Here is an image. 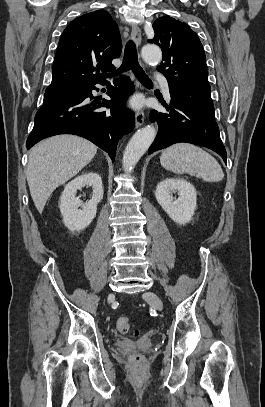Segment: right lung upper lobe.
<instances>
[{"mask_svg":"<svg viewBox=\"0 0 265 407\" xmlns=\"http://www.w3.org/2000/svg\"><path fill=\"white\" fill-rule=\"evenodd\" d=\"M120 32L111 15L94 11L74 19L63 31L52 68L54 84L84 85L114 70L121 54Z\"/></svg>","mask_w":265,"mask_h":407,"instance_id":"cb5924a9","label":"right lung upper lobe"}]
</instances>
